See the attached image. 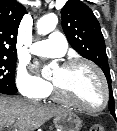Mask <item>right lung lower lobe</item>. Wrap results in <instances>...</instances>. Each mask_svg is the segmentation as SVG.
I'll return each instance as SVG.
<instances>
[{
	"label": "right lung lower lobe",
	"mask_w": 117,
	"mask_h": 131,
	"mask_svg": "<svg viewBox=\"0 0 117 131\" xmlns=\"http://www.w3.org/2000/svg\"><path fill=\"white\" fill-rule=\"evenodd\" d=\"M0 93L7 94L6 92H4V91H2V90H0Z\"/></svg>",
	"instance_id": "1"
}]
</instances>
